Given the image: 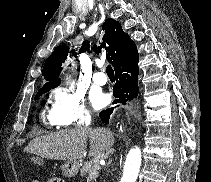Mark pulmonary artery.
I'll list each match as a JSON object with an SVG mask.
<instances>
[{
    "mask_svg": "<svg viewBox=\"0 0 211 182\" xmlns=\"http://www.w3.org/2000/svg\"><path fill=\"white\" fill-rule=\"evenodd\" d=\"M101 68V66H99ZM93 81L97 85H104L107 81V76L103 71H97L93 75Z\"/></svg>",
    "mask_w": 211,
    "mask_h": 182,
    "instance_id": "1",
    "label": "pulmonary artery"
}]
</instances>
